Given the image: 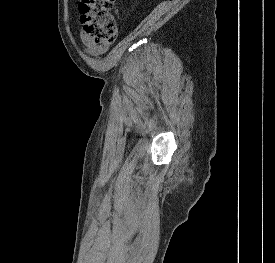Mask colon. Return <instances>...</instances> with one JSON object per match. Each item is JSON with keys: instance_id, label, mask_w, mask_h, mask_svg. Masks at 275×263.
Segmentation results:
<instances>
[{"instance_id": "colon-1", "label": "colon", "mask_w": 275, "mask_h": 263, "mask_svg": "<svg viewBox=\"0 0 275 263\" xmlns=\"http://www.w3.org/2000/svg\"><path fill=\"white\" fill-rule=\"evenodd\" d=\"M115 0H81L80 22L83 34L96 44H111L118 37V23L112 14Z\"/></svg>"}]
</instances>
